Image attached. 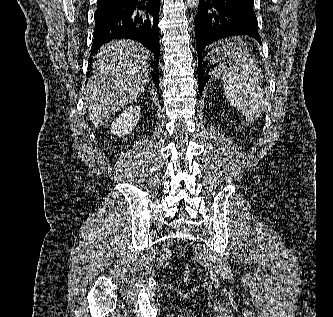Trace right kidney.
Instances as JSON below:
<instances>
[{
  "label": "right kidney",
  "mask_w": 333,
  "mask_h": 317,
  "mask_svg": "<svg viewBox=\"0 0 333 317\" xmlns=\"http://www.w3.org/2000/svg\"><path fill=\"white\" fill-rule=\"evenodd\" d=\"M139 117V106L128 107L112 122L111 133L119 137L128 134L137 125Z\"/></svg>",
  "instance_id": "obj_1"
}]
</instances>
